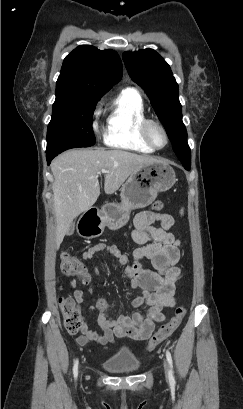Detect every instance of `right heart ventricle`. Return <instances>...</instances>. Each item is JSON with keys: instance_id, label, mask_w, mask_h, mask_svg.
<instances>
[{"instance_id": "right-heart-ventricle-1", "label": "right heart ventricle", "mask_w": 243, "mask_h": 409, "mask_svg": "<svg viewBox=\"0 0 243 409\" xmlns=\"http://www.w3.org/2000/svg\"><path fill=\"white\" fill-rule=\"evenodd\" d=\"M108 111V126L104 135L108 146L139 153L154 152L141 133L146 113L142 97L136 89L122 90L109 102Z\"/></svg>"}]
</instances>
